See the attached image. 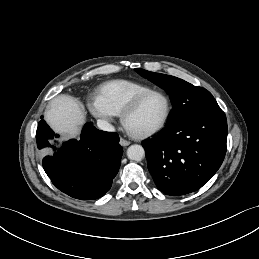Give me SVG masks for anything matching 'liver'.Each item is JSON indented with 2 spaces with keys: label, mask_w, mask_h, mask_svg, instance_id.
Returning <instances> with one entry per match:
<instances>
[{
  "label": "liver",
  "mask_w": 259,
  "mask_h": 259,
  "mask_svg": "<svg viewBox=\"0 0 259 259\" xmlns=\"http://www.w3.org/2000/svg\"><path fill=\"white\" fill-rule=\"evenodd\" d=\"M45 120L58 133L76 137L85 123V113L70 96L59 95L51 100Z\"/></svg>",
  "instance_id": "obj_1"
}]
</instances>
